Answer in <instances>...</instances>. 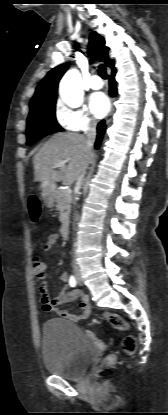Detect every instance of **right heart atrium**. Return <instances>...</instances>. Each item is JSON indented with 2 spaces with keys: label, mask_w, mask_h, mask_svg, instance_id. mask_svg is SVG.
I'll use <instances>...</instances> for the list:
<instances>
[{
  "label": "right heart atrium",
  "mask_w": 168,
  "mask_h": 415,
  "mask_svg": "<svg viewBox=\"0 0 168 415\" xmlns=\"http://www.w3.org/2000/svg\"><path fill=\"white\" fill-rule=\"evenodd\" d=\"M59 126L66 131L88 133L95 129L96 121L85 106L72 108L59 102L55 110Z\"/></svg>",
  "instance_id": "obj_1"
}]
</instances>
